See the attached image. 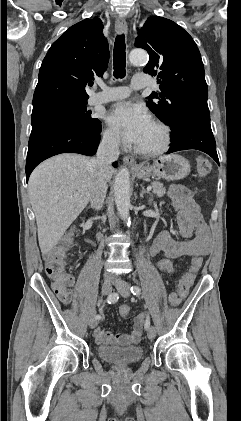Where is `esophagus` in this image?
Instances as JSON below:
<instances>
[{
  "label": "esophagus",
  "mask_w": 241,
  "mask_h": 421,
  "mask_svg": "<svg viewBox=\"0 0 241 421\" xmlns=\"http://www.w3.org/2000/svg\"><path fill=\"white\" fill-rule=\"evenodd\" d=\"M115 30H116L117 34H123V33L127 34L128 27H127L126 21L124 19H122V18L116 19V22H115ZM123 161L129 167H131V168H137L136 161L134 160L133 157L126 155V156L123 157Z\"/></svg>",
  "instance_id": "1"
}]
</instances>
